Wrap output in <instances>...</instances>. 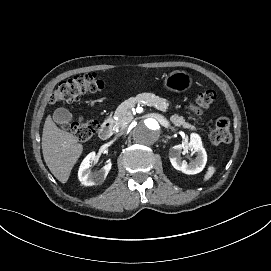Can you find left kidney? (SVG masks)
<instances>
[{
    "instance_id": "obj_1",
    "label": "left kidney",
    "mask_w": 271,
    "mask_h": 271,
    "mask_svg": "<svg viewBox=\"0 0 271 271\" xmlns=\"http://www.w3.org/2000/svg\"><path fill=\"white\" fill-rule=\"evenodd\" d=\"M190 148H194L196 153V159L189 164L182 160L180 157L182 151V145H175L170 149L169 156L173 167L177 170H181L186 174H195L200 171L207 163V151L203 145L202 137L197 132H190Z\"/></svg>"
}]
</instances>
